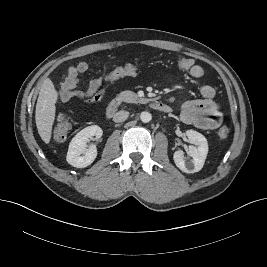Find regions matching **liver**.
Here are the masks:
<instances>
[{"label": "liver", "instance_id": "obj_1", "mask_svg": "<svg viewBox=\"0 0 267 267\" xmlns=\"http://www.w3.org/2000/svg\"><path fill=\"white\" fill-rule=\"evenodd\" d=\"M57 99L58 95L53 82L49 78L45 79L36 104L35 120L38 133L46 144H49L51 140Z\"/></svg>", "mask_w": 267, "mask_h": 267}]
</instances>
